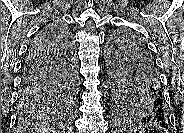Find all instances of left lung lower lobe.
<instances>
[{
  "mask_svg": "<svg viewBox=\"0 0 184 133\" xmlns=\"http://www.w3.org/2000/svg\"><path fill=\"white\" fill-rule=\"evenodd\" d=\"M159 75H158V80H157V89L155 88V86H151V93L155 96L156 100H155V107H160V105L165 104V97H164V92H163V86L161 84V81L159 79ZM161 90V91H160ZM122 118H124L126 121H128L130 123L133 122L131 120V118L122 115ZM156 123L153 124H157L163 128H168V124H169V116L159 112L155 117H154Z\"/></svg>",
  "mask_w": 184,
  "mask_h": 133,
  "instance_id": "1",
  "label": "left lung lower lobe"
}]
</instances>
